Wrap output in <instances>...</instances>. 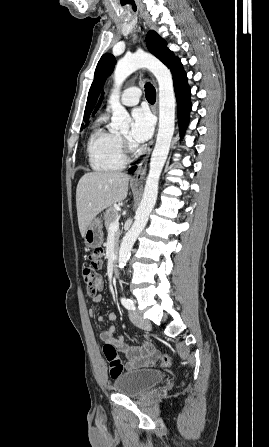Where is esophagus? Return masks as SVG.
<instances>
[{
  "mask_svg": "<svg viewBox=\"0 0 269 447\" xmlns=\"http://www.w3.org/2000/svg\"><path fill=\"white\" fill-rule=\"evenodd\" d=\"M155 114H158V104H155ZM151 154V150H148L147 154L145 155V157H143V159L139 162L137 170L132 178V183L138 184V183H142L143 179L145 178V175L147 173V164H148V159L150 157Z\"/></svg>",
  "mask_w": 269,
  "mask_h": 447,
  "instance_id": "obj_1",
  "label": "esophagus"
}]
</instances>
